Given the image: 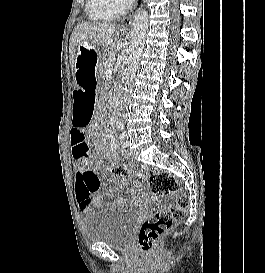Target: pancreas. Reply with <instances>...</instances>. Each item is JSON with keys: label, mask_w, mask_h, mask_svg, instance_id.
<instances>
[{"label": "pancreas", "mask_w": 265, "mask_h": 273, "mask_svg": "<svg viewBox=\"0 0 265 273\" xmlns=\"http://www.w3.org/2000/svg\"><path fill=\"white\" fill-rule=\"evenodd\" d=\"M115 56L116 54L114 52H109L107 55L103 57L102 61L98 65L97 71L98 77L100 78L106 77V70L113 65Z\"/></svg>", "instance_id": "pancreas-1"}]
</instances>
